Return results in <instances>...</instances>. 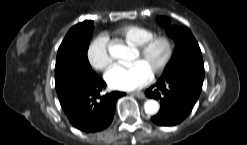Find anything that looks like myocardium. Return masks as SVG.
I'll return each instance as SVG.
<instances>
[{
	"mask_svg": "<svg viewBox=\"0 0 247 145\" xmlns=\"http://www.w3.org/2000/svg\"><path fill=\"white\" fill-rule=\"evenodd\" d=\"M163 43L165 46V55L160 64L152 71L154 76L161 74L170 64L174 55V42L167 35H153L144 42L136 46V51L139 54H146L156 43Z\"/></svg>",
	"mask_w": 247,
	"mask_h": 145,
	"instance_id": "obj_1",
	"label": "myocardium"
}]
</instances>
